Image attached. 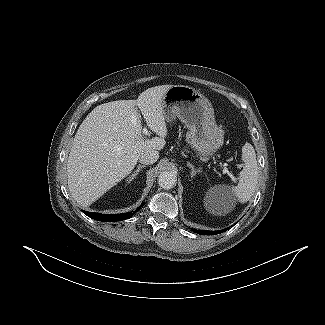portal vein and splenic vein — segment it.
<instances>
[{
  "label": "portal vein and splenic vein",
  "instance_id": "1",
  "mask_svg": "<svg viewBox=\"0 0 325 325\" xmlns=\"http://www.w3.org/2000/svg\"><path fill=\"white\" fill-rule=\"evenodd\" d=\"M142 132H143L144 135H148L149 134L147 128H143ZM226 166H227V164L226 163H223L224 171L228 173Z\"/></svg>",
  "mask_w": 325,
  "mask_h": 325
}]
</instances>
